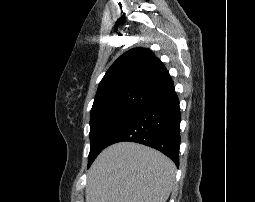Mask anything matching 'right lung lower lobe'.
Masks as SVG:
<instances>
[{
	"label": "right lung lower lobe",
	"instance_id": "right-lung-lower-lobe-1",
	"mask_svg": "<svg viewBox=\"0 0 255 202\" xmlns=\"http://www.w3.org/2000/svg\"><path fill=\"white\" fill-rule=\"evenodd\" d=\"M180 109L175 92L138 110L109 140L107 146L131 141L161 151L179 165Z\"/></svg>",
	"mask_w": 255,
	"mask_h": 202
}]
</instances>
